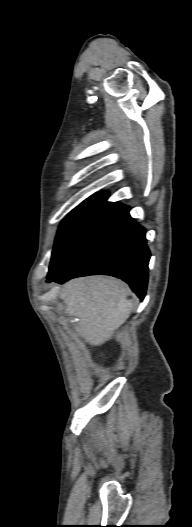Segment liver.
Here are the masks:
<instances>
[{"label": "liver", "instance_id": "1", "mask_svg": "<svg viewBox=\"0 0 192 527\" xmlns=\"http://www.w3.org/2000/svg\"><path fill=\"white\" fill-rule=\"evenodd\" d=\"M129 287L112 277L77 278L61 290L65 313L78 317V334L93 346L108 341L129 317L133 302L127 299Z\"/></svg>", "mask_w": 192, "mask_h": 527}]
</instances>
